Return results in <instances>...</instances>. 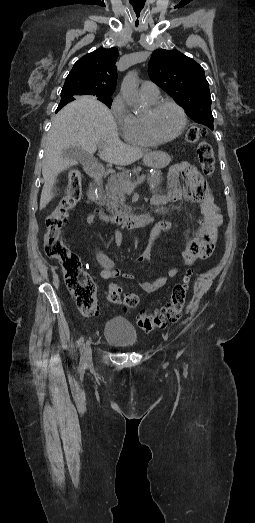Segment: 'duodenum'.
<instances>
[{"label": "duodenum", "instance_id": "410a0bca", "mask_svg": "<svg viewBox=\"0 0 255 523\" xmlns=\"http://www.w3.org/2000/svg\"><path fill=\"white\" fill-rule=\"evenodd\" d=\"M87 174L92 178L93 183L88 192V200L95 205L94 219H99L118 225H122L127 229H135L146 227L153 222V218L149 214L140 215H107L100 206V183L105 173V166L100 161L90 159L85 164ZM162 199H155V204H161Z\"/></svg>", "mask_w": 255, "mask_h": 523}]
</instances>
